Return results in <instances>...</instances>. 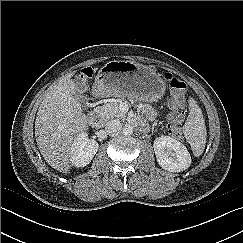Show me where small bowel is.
<instances>
[{"instance_id": "small-bowel-1", "label": "small bowel", "mask_w": 243, "mask_h": 243, "mask_svg": "<svg viewBox=\"0 0 243 243\" xmlns=\"http://www.w3.org/2000/svg\"><path fill=\"white\" fill-rule=\"evenodd\" d=\"M171 109H172L173 111L176 110V108L173 107L172 105H171ZM145 113H146V115H147L148 117H151V118L154 117V116L156 115V111H155L153 108H151V107L146 108V109H145Z\"/></svg>"}]
</instances>
